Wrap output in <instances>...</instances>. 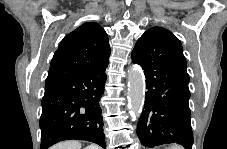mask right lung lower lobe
<instances>
[{
	"instance_id": "right-lung-lower-lobe-1",
	"label": "right lung lower lobe",
	"mask_w": 227,
	"mask_h": 149,
	"mask_svg": "<svg viewBox=\"0 0 227 149\" xmlns=\"http://www.w3.org/2000/svg\"><path fill=\"white\" fill-rule=\"evenodd\" d=\"M108 63L45 87L39 121L40 149L69 139L87 140L105 147L99 100L104 92Z\"/></svg>"
}]
</instances>
